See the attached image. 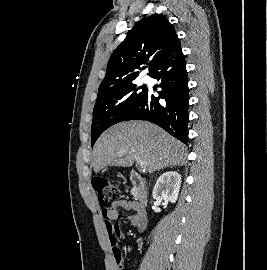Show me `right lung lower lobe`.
Here are the masks:
<instances>
[{"instance_id":"1","label":"right lung lower lobe","mask_w":267,"mask_h":270,"mask_svg":"<svg viewBox=\"0 0 267 270\" xmlns=\"http://www.w3.org/2000/svg\"><path fill=\"white\" fill-rule=\"evenodd\" d=\"M160 79L159 97L150 91L129 112L124 121L147 120L165 129L187 144L188 141V77L180 43L159 63L151 75ZM162 99L161 101H159Z\"/></svg>"}]
</instances>
